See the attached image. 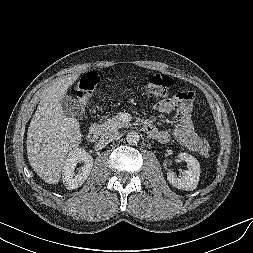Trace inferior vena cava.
<instances>
[{
	"instance_id": "inferior-vena-cava-1",
	"label": "inferior vena cava",
	"mask_w": 253,
	"mask_h": 253,
	"mask_svg": "<svg viewBox=\"0 0 253 253\" xmlns=\"http://www.w3.org/2000/svg\"><path fill=\"white\" fill-rule=\"evenodd\" d=\"M119 137V133L118 132H111V133H108V134H104L102 137H101V142L103 143H110L114 140H116L117 138Z\"/></svg>"
}]
</instances>
